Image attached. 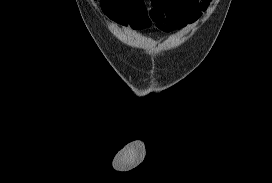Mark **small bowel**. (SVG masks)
I'll list each match as a JSON object with an SVG mask.
<instances>
[{
  "mask_svg": "<svg viewBox=\"0 0 272 183\" xmlns=\"http://www.w3.org/2000/svg\"><path fill=\"white\" fill-rule=\"evenodd\" d=\"M210 0H101L105 14L135 31L158 24L164 30L196 21Z\"/></svg>",
  "mask_w": 272,
  "mask_h": 183,
  "instance_id": "c3829d8e",
  "label": "small bowel"
}]
</instances>
